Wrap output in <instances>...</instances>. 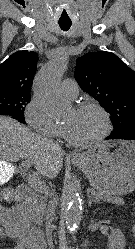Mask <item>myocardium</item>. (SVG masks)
Instances as JSON below:
<instances>
[{"instance_id":"1","label":"myocardium","mask_w":135,"mask_h":249,"mask_svg":"<svg viewBox=\"0 0 135 249\" xmlns=\"http://www.w3.org/2000/svg\"><path fill=\"white\" fill-rule=\"evenodd\" d=\"M84 109H95L97 110L103 117L104 120V130L103 132L97 136L96 138L90 140V141H77L75 140L69 133L67 127L64 126V131H65V136L68 140V142H70L72 145L76 146V147H81V148H88L91 146H94L98 143H100L101 141H103L110 133L111 130V119H110V115L107 112V110L101 106L100 104L96 103V102H92V101H85V102H81L79 104H77L74 107V110L76 111H81Z\"/></svg>"}]
</instances>
